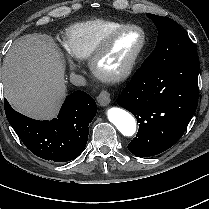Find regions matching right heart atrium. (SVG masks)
<instances>
[{
    "label": "right heart atrium",
    "instance_id": "right-heart-atrium-1",
    "mask_svg": "<svg viewBox=\"0 0 209 209\" xmlns=\"http://www.w3.org/2000/svg\"><path fill=\"white\" fill-rule=\"evenodd\" d=\"M66 58H67V62L69 64L70 68L73 69V70L76 69L77 65L74 62V60L68 54H66Z\"/></svg>",
    "mask_w": 209,
    "mask_h": 209
}]
</instances>
